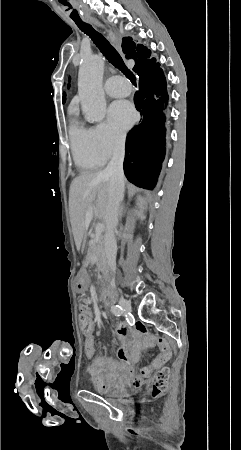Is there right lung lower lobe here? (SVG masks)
Here are the masks:
<instances>
[{
  "instance_id": "1",
  "label": "right lung lower lobe",
  "mask_w": 241,
  "mask_h": 450,
  "mask_svg": "<svg viewBox=\"0 0 241 450\" xmlns=\"http://www.w3.org/2000/svg\"><path fill=\"white\" fill-rule=\"evenodd\" d=\"M151 60L138 67L139 90L135 93L136 109L142 122L127 135L124 173L136 186L153 189L165 156V123L168 94L164 73Z\"/></svg>"
}]
</instances>
